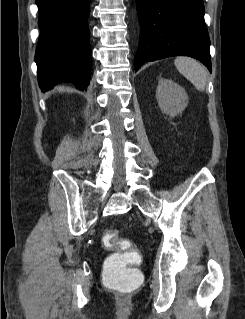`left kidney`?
Wrapping results in <instances>:
<instances>
[{
  "label": "left kidney",
  "instance_id": "obj_1",
  "mask_svg": "<svg viewBox=\"0 0 245 319\" xmlns=\"http://www.w3.org/2000/svg\"><path fill=\"white\" fill-rule=\"evenodd\" d=\"M156 98L161 111L170 117L182 113L188 103L185 89L168 79L158 81Z\"/></svg>",
  "mask_w": 245,
  "mask_h": 319
}]
</instances>
